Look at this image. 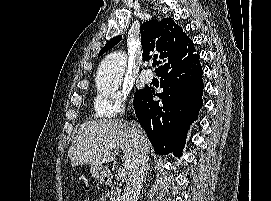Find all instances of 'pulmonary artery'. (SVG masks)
<instances>
[{"label": "pulmonary artery", "mask_w": 271, "mask_h": 201, "mask_svg": "<svg viewBox=\"0 0 271 201\" xmlns=\"http://www.w3.org/2000/svg\"><path fill=\"white\" fill-rule=\"evenodd\" d=\"M140 80L149 83L152 80V73L149 70H144L140 75Z\"/></svg>", "instance_id": "pulmonary-artery-1"}]
</instances>
